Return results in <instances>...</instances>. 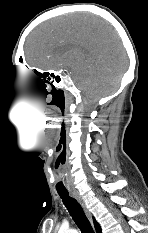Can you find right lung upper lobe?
<instances>
[{
  "instance_id": "cb5924a9",
  "label": "right lung upper lobe",
  "mask_w": 148,
  "mask_h": 233,
  "mask_svg": "<svg viewBox=\"0 0 148 233\" xmlns=\"http://www.w3.org/2000/svg\"><path fill=\"white\" fill-rule=\"evenodd\" d=\"M94 225H95V229H96L97 233H101V227L95 220H94Z\"/></svg>"
}]
</instances>
